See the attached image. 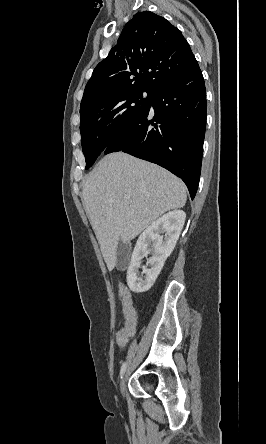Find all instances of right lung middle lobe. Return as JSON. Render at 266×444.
Returning <instances> with one entry per match:
<instances>
[{
  "label": "right lung middle lobe",
  "mask_w": 266,
  "mask_h": 444,
  "mask_svg": "<svg viewBox=\"0 0 266 444\" xmlns=\"http://www.w3.org/2000/svg\"><path fill=\"white\" fill-rule=\"evenodd\" d=\"M127 89L102 96L80 109V133L86 169L103 153L113 138L149 108L151 92Z\"/></svg>",
  "instance_id": "right-lung-middle-lobe-1"
}]
</instances>
